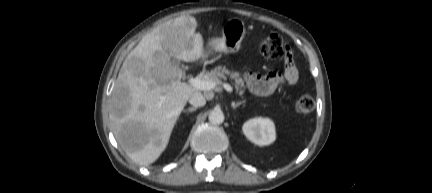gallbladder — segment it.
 <instances>
[{
  "instance_id": "bac80fb5",
  "label": "gallbladder",
  "mask_w": 432,
  "mask_h": 193,
  "mask_svg": "<svg viewBox=\"0 0 432 193\" xmlns=\"http://www.w3.org/2000/svg\"><path fill=\"white\" fill-rule=\"evenodd\" d=\"M170 62L173 65H179L180 64V61L178 59L174 58V57H171Z\"/></svg>"
}]
</instances>
